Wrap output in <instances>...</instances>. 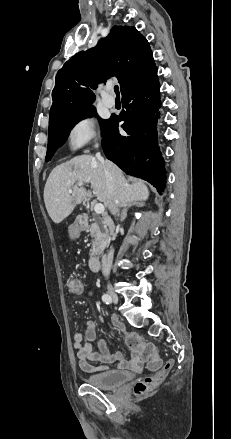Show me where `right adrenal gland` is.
I'll return each mask as SVG.
<instances>
[{
    "label": "right adrenal gland",
    "mask_w": 231,
    "mask_h": 439,
    "mask_svg": "<svg viewBox=\"0 0 231 439\" xmlns=\"http://www.w3.org/2000/svg\"><path fill=\"white\" fill-rule=\"evenodd\" d=\"M134 205L141 206V205H143V203L142 202H130V203L124 205L122 213H121V217H120L121 221L125 220V218L127 217V209L131 206H134Z\"/></svg>",
    "instance_id": "obj_1"
}]
</instances>
